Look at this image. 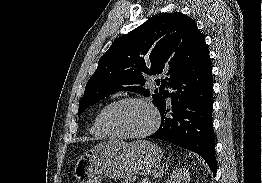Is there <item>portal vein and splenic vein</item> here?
<instances>
[{"instance_id": "1", "label": "portal vein and splenic vein", "mask_w": 262, "mask_h": 183, "mask_svg": "<svg viewBox=\"0 0 262 183\" xmlns=\"http://www.w3.org/2000/svg\"><path fill=\"white\" fill-rule=\"evenodd\" d=\"M145 183H151L150 181H147V182H145Z\"/></svg>"}]
</instances>
